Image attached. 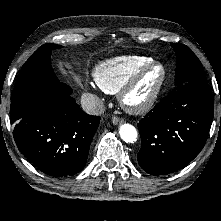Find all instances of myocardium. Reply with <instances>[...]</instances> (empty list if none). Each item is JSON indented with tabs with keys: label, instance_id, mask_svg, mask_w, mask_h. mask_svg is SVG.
I'll return each instance as SVG.
<instances>
[{
	"label": "myocardium",
	"instance_id": "1",
	"mask_svg": "<svg viewBox=\"0 0 221 221\" xmlns=\"http://www.w3.org/2000/svg\"><path fill=\"white\" fill-rule=\"evenodd\" d=\"M160 69V77L151 89L149 94L141 101L133 102L130 100V95L137 88L146 74L152 69ZM167 78L165 66L158 62L152 61L140 68L133 74L129 80L121 87L118 92V101L122 108L132 114H143L149 111L157 102Z\"/></svg>",
	"mask_w": 221,
	"mask_h": 221
}]
</instances>
